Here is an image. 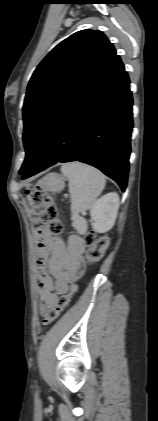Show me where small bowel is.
<instances>
[{
	"mask_svg": "<svg viewBox=\"0 0 158 421\" xmlns=\"http://www.w3.org/2000/svg\"><path fill=\"white\" fill-rule=\"evenodd\" d=\"M84 251L83 239L76 234L64 241L47 232H38L39 296L44 310L54 307L58 298L68 292L69 282L81 275Z\"/></svg>",
	"mask_w": 158,
	"mask_h": 421,
	"instance_id": "small-bowel-1",
	"label": "small bowel"
}]
</instances>
